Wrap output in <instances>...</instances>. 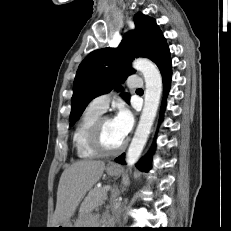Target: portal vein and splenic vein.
Wrapping results in <instances>:
<instances>
[{
  "instance_id": "18ae733b",
  "label": "portal vein and splenic vein",
  "mask_w": 231,
  "mask_h": 231,
  "mask_svg": "<svg viewBox=\"0 0 231 231\" xmlns=\"http://www.w3.org/2000/svg\"><path fill=\"white\" fill-rule=\"evenodd\" d=\"M110 186L108 185V186H105V189H106V191H108V190H110Z\"/></svg>"
}]
</instances>
